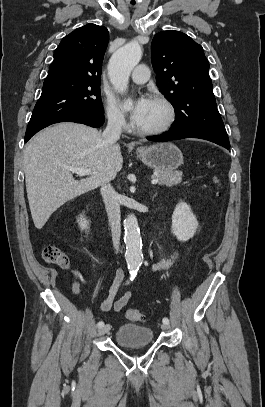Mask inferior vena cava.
<instances>
[{
    "label": "inferior vena cava",
    "instance_id": "602c4592",
    "mask_svg": "<svg viewBox=\"0 0 265 407\" xmlns=\"http://www.w3.org/2000/svg\"><path fill=\"white\" fill-rule=\"evenodd\" d=\"M124 119L119 114H109L106 129L102 137L108 144L115 143L121 135ZM100 193L102 195L105 209L111 225L113 247L118 252L121 237V215L118 194L110 184L109 179H104L101 184Z\"/></svg>",
    "mask_w": 265,
    "mask_h": 407
}]
</instances>
